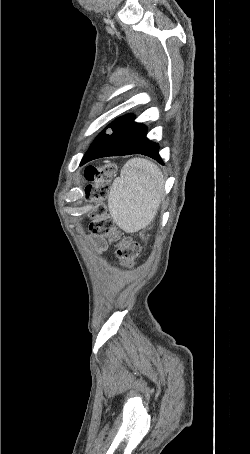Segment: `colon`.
I'll list each match as a JSON object with an SVG mask.
<instances>
[{
  "label": "colon",
  "mask_w": 250,
  "mask_h": 454,
  "mask_svg": "<svg viewBox=\"0 0 250 454\" xmlns=\"http://www.w3.org/2000/svg\"><path fill=\"white\" fill-rule=\"evenodd\" d=\"M116 172V166L113 163L106 164L102 167H88L85 171V177L93 184L87 189V197L95 202L91 211L92 223L91 231L95 235L105 236L111 241H116V254L120 263L125 268H132L136 265L139 254V245L129 237L121 236L115 228L111 219L105 199L108 196L109 183Z\"/></svg>",
  "instance_id": "1"
}]
</instances>
